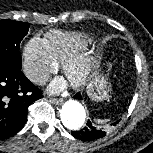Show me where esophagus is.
<instances>
[{"label":"esophagus","mask_w":153,"mask_h":153,"mask_svg":"<svg viewBox=\"0 0 153 153\" xmlns=\"http://www.w3.org/2000/svg\"><path fill=\"white\" fill-rule=\"evenodd\" d=\"M51 102L56 104V105H61L63 103V99L61 98H51Z\"/></svg>","instance_id":"obj_1"}]
</instances>
